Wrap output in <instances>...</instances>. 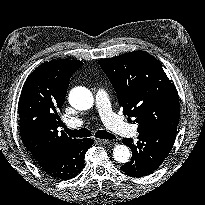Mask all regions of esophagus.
Instances as JSON below:
<instances>
[{"label":"esophagus","mask_w":205,"mask_h":205,"mask_svg":"<svg viewBox=\"0 0 205 205\" xmlns=\"http://www.w3.org/2000/svg\"><path fill=\"white\" fill-rule=\"evenodd\" d=\"M96 141L98 143H101V144H109L110 143V140H107V139H96Z\"/></svg>","instance_id":"obj_1"}]
</instances>
